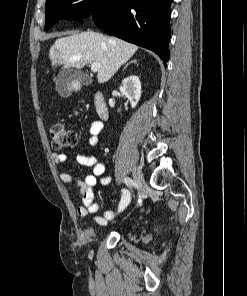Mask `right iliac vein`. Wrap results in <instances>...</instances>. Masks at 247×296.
I'll return each mask as SVG.
<instances>
[{
  "instance_id": "obj_1",
  "label": "right iliac vein",
  "mask_w": 247,
  "mask_h": 296,
  "mask_svg": "<svg viewBox=\"0 0 247 296\" xmlns=\"http://www.w3.org/2000/svg\"><path fill=\"white\" fill-rule=\"evenodd\" d=\"M133 178L136 182L137 188H138V198H142L143 194H144V190H145V179L143 176L142 171L140 170V168H134L133 170Z\"/></svg>"
}]
</instances>
